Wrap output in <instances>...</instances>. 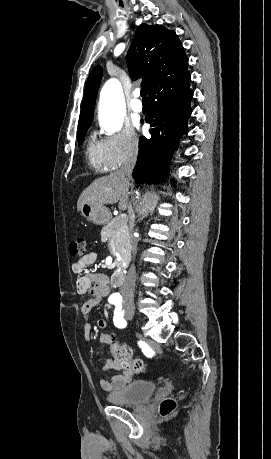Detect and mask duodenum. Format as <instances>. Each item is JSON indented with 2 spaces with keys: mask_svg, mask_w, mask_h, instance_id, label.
Masks as SVG:
<instances>
[{
  "mask_svg": "<svg viewBox=\"0 0 271 459\" xmlns=\"http://www.w3.org/2000/svg\"><path fill=\"white\" fill-rule=\"evenodd\" d=\"M125 280V274L121 270H116L111 276V282L113 285L120 286Z\"/></svg>",
  "mask_w": 271,
  "mask_h": 459,
  "instance_id": "duodenum-1",
  "label": "duodenum"
}]
</instances>
